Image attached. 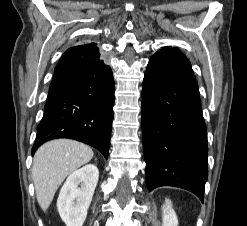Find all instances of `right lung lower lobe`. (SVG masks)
Masks as SVG:
<instances>
[{
    "mask_svg": "<svg viewBox=\"0 0 247 226\" xmlns=\"http://www.w3.org/2000/svg\"><path fill=\"white\" fill-rule=\"evenodd\" d=\"M114 79L94 44L69 48L60 58L37 127L32 154L46 141L70 138L108 158L113 121Z\"/></svg>",
    "mask_w": 247,
    "mask_h": 226,
    "instance_id": "obj_1",
    "label": "right lung lower lobe"
}]
</instances>
